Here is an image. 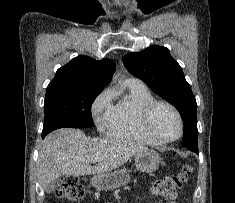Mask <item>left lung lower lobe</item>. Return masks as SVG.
Wrapping results in <instances>:
<instances>
[{
	"mask_svg": "<svg viewBox=\"0 0 235 203\" xmlns=\"http://www.w3.org/2000/svg\"><path fill=\"white\" fill-rule=\"evenodd\" d=\"M192 134L193 133L190 130H184L182 141L184 147L193 149L191 144ZM195 152H198V149L195 150Z\"/></svg>",
	"mask_w": 235,
	"mask_h": 203,
	"instance_id": "obj_1",
	"label": "left lung lower lobe"
}]
</instances>
